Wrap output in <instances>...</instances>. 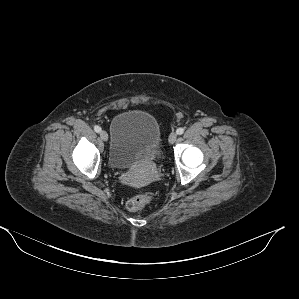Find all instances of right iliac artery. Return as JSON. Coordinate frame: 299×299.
<instances>
[{"label": "right iliac artery", "instance_id": "right-iliac-artery-1", "mask_svg": "<svg viewBox=\"0 0 299 299\" xmlns=\"http://www.w3.org/2000/svg\"><path fill=\"white\" fill-rule=\"evenodd\" d=\"M95 132L99 133L101 131V127L99 126H95L94 127Z\"/></svg>", "mask_w": 299, "mask_h": 299}]
</instances>
